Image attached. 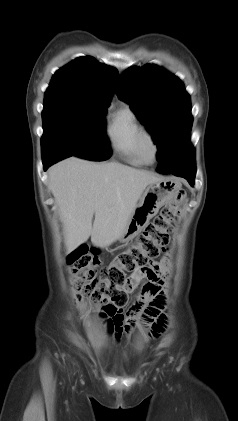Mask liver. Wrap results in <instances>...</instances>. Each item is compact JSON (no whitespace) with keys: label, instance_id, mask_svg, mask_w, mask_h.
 I'll list each match as a JSON object with an SVG mask.
<instances>
[{"label":"liver","instance_id":"obj_1","mask_svg":"<svg viewBox=\"0 0 238 421\" xmlns=\"http://www.w3.org/2000/svg\"><path fill=\"white\" fill-rule=\"evenodd\" d=\"M48 178L49 189L59 206L68 251L90 236L99 247L115 242L146 187L162 179L120 163H97L76 157L52 166Z\"/></svg>","mask_w":238,"mask_h":421}]
</instances>
